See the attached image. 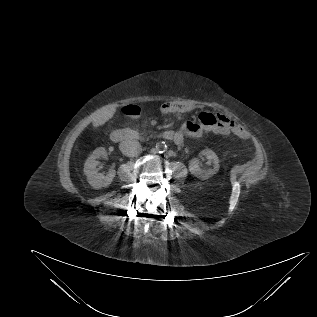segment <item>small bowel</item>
Listing matches in <instances>:
<instances>
[{
  "instance_id": "small-bowel-1",
  "label": "small bowel",
  "mask_w": 317,
  "mask_h": 317,
  "mask_svg": "<svg viewBox=\"0 0 317 317\" xmlns=\"http://www.w3.org/2000/svg\"><path fill=\"white\" fill-rule=\"evenodd\" d=\"M192 109V104L184 100L166 101L161 106V110L164 114L185 113L192 111ZM218 116L219 122L213 126H207L203 123L187 121L175 134V142L178 145H181L183 144L184 138L186 136L200 137L204 131H212L219 134H228L230 132H235L241 137L245 136V132L242 127L233 119L229 118L225 114H218Z\"/></svg>"
}]
</instances>
